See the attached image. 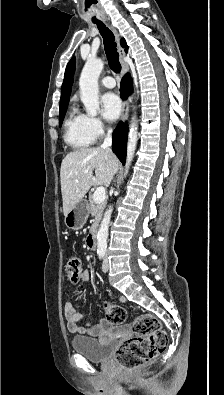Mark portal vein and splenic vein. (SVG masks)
Returning <instances> with one entry per match:
<instances>
[{"label": "portal vein and splenic vein", "mask_w": 224, "mask_h": 395, "mask_svg": "<svg viewBox=\"0 0 224 395\" xmlns=\"http://www.w3.org/2000/svg\"><path fill=\"white\" fill-rule=\"evenodd\" d=\"M106 198V192L105 188L103 186L97 187L94 194H93V200L95 203L99 204L103 202Z\"/></svg>", "instance_id": "portal-vein-and-splenic-vein-1"}]
</instances>
